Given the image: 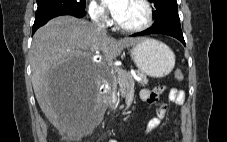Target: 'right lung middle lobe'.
<instances>
[{"label": "right lung middle lobe", "mask_w": 227, "mask_h": 142, "mask_svg": "<svg viewBox=\"0 0 227 142\" xmlns=\"http://www.w3.org/2000/svg\"><path fill=\"white\" fill-rule=\"evenodd\" d=\"M36 16L62 10L84 11L85 0H37Z\"/></svg>", "instance_id": "dd1d6c3e"}]
</instances>
